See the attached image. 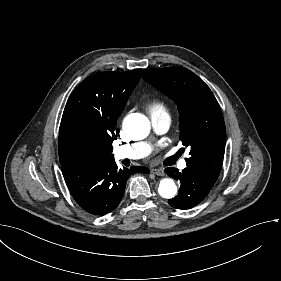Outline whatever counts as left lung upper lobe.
I'll use <instances>...</instances> for the list:
<instances>
[{
	"mask_svg": "<svg viewBox=\"0 0 281 281\" xmlns=\"http://www.w3.org/2000/svg\"><path fill=\"white\" fill-rule=\"evenodd\" d=\"M144 80L172 98L179 109L180 140L190 148L191 167L216 181L222 167L226 129L210 88L184 67L143 70Z\"/></svg>",
	"mask_w": 281,
	"mask_h": 281,
	"instance_id": "left-lung-upper-lobe-1",
	"label": "left lung upper lobe"
}]
</instances>
